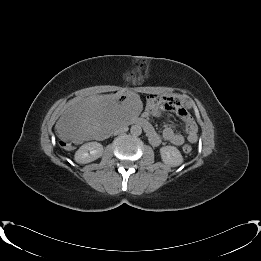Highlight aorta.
I'll return each mask as SVG.
<instances>
[{"instance_id": "aorta-1", "label": "aorta", "mask_w": 261, "mask_h": 261, "mask_svg": "<svg viewBox=\"0 0 261 261\" xmlns=\"http://www.w3.org/2000/svg\"><path fill=\"white\" fill-rule=\"evenodd\" d=\"M130 132L133 136H139L142 133V128L140 125H133L130 128Z\"/></svg>"}]
</instances>
